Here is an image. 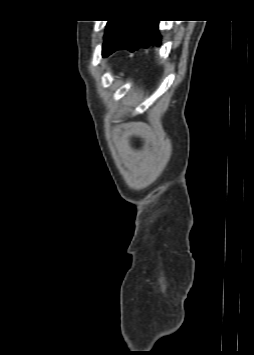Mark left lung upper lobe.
Segmentation results:
<instances>
[{"label": "left lung upper lobe", "instance_id": "5c2ea615", "mask_svg": "<svg viewBox=\"0 0 254 355\" xmlns=\"http://www.w3.org/2000/svg\"><path fill=\"white\" fill-rule=\"evenodd\" d=\"M129 22H130L129 20L108 21L106 25L104 43L102 47V55L104 57L112 53V49L114 45L121 38L123 30Z\"/></svg>", "mask_w": 254, "mask_h": 355}]
</instances>
